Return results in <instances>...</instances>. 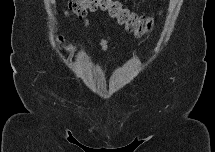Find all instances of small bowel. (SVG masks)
<instances>
[{"label": "small bowel", "instance_id": "1", "mask_svg": "<svg viewBox=\"0 0 215 152\" xmlns=\"http://www.w3.org/2000/svg\"><path fill=\"white\" fill-rule=\"evenodd\" d=\"M82 21H83V24L88 27L89 26V20L86 18V17H83L82 18ZM98 45L100 46V48L104 51V52H107L108 49H109V46H108V42L106 39L104 38H100L98 39L97 41Z\"/></svg>", "mask_w": 215, "mask_h": 152}]
</instances>
